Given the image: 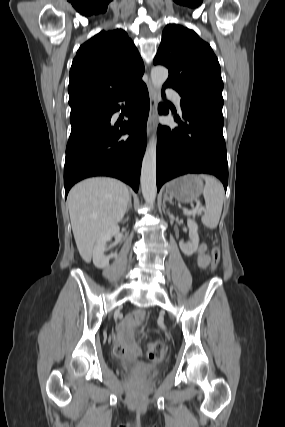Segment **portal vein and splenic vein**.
<instances>
[{
  "instance_id": "18ae733b",
  "label": "portal vein and splenic vein",
  "mask_w": 285,
  "mask_h": 427,
  "mask_svg": "<svg viewBox=\"0 0 285 427\" xmlns=\"http://www.w3.org/2000/svg\"><path fill=\"white\" fill-rule=\"evenodd\" d=\"M198 205H199V203H198ZM203 210H204V208H200V209L196 208V209H193V210H184L183 212L186 215H195V214H197V213H199V212H201Z\"/></svg>"
}]
</instances>
